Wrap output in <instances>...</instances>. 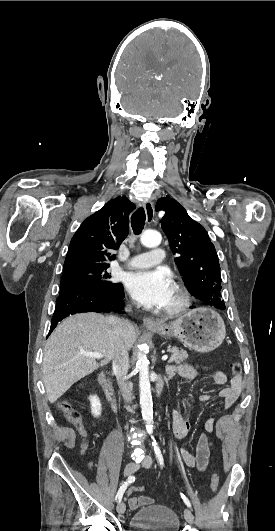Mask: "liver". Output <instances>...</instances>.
I'll return each mask as SVG.
<instances>
[{
  "label": "liver",
  "instance_id": "1",
  "mask_svg": "<svg viewBox=\"0 0 275 531\" xmlns=\"http://www.w3.org/2000/svg\"><path fill=\"white\" fill-rule=\"evenodd\" d=\"M108 317L99 313H80L62 321L45 345L42 363L43 383L49 403H56L74 383L107 365L113 357V329ZM122 341L131 349L136 341L132 323L122 319ZM81 353H102L105 359L97 363L94 357Z\"/></svg>",
  "mask_w": 275,
  "mask_h": 531
}]
</instances>
